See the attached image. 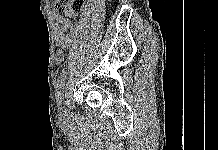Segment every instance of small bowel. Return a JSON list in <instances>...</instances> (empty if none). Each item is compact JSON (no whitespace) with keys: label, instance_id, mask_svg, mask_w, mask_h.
Returning a JSON list of instances; mask_svg holds the SVG:
<instances>
[{"label":"small bowel","instance_id":"1","mask_svg":"<svg viewBox=\"0 0 218 150\" xmlns=\"http://www.w3.org/2000/svg\"><path fill=\"white\" fill-rule=\"evenodd\" d=\"M56 28H55V41L59 48H69L75 42V33L72 30L69 20L55 15ZM61 54H59V59Z\"/></svg>","mask_w":218,"mask_h":150}]
</instances>
